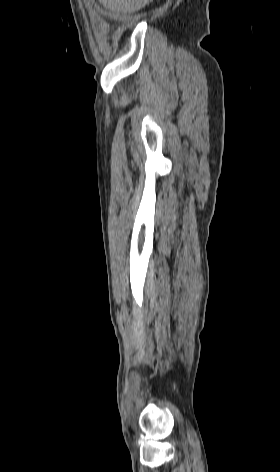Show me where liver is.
I'll list each match as a JSON object with an SVG mask.
<instances>
[{"instance_id":"6515ba94","label":"liver","mask_w":280,"mask_h":472,"mask_svg":"<svg viewBox=\"0 0 280 472\" xmlns=\"http://www.w3.org/2000/svg\"><path fill=\"white\" fill-rule=\"evenodd\" d=\"M150 0H100L104 7L112 12H135L143 8Z\"/></svg>"}]
</instances>
